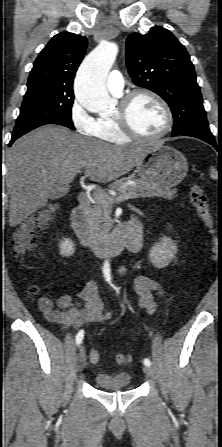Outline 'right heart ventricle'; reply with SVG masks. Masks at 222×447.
<instances>
[{
    "mask_svg": "<svg viewBox=\"0 0 222 447\" xmlns=\"http://www.w3.org/2000/svg\"><path fill=\"white\" fill-rule=\"evenodd\" d=\"M93 135L110 143L123 144L129 141V138L121 132L114 116H100L96 120Z\"/></svg>",
    "mask_w": 222,
    "mask_h": 447,
    "instance_id": "e07e8e85",
    "label": "right heart ventricle"
}]
</instances>
